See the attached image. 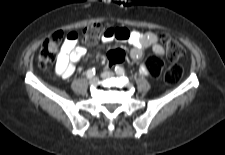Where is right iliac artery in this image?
Instances as JSON below:
<instances>
[{"instance_id":"right-iliac-artery-1","label":"right iliac artery","mask_w":225,"mask_h":155,"mask_svg":"<svg viewBox=\"0 0 225 155\" xmlns=\"http://www.w3.org/2000/svg\"><path fill=\"white\" fill-rule=\"evenodd\" d=\"M96 74V69L95 68H91L86 72V76L87 78L91 79L92 77H94Z\"/></svg>"}]
</instances>
